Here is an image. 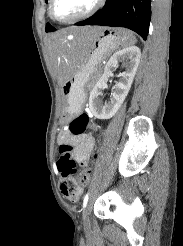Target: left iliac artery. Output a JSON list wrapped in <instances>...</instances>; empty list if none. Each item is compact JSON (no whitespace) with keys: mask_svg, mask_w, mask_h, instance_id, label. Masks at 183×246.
Instances as JSON below:
<instances>
[{"mask_svg":"<svg viewBox=\"0 0 183 246\" xmlns=\"http://www.w3.org/2000/svg\"><path fill=\"white\" fill-rule=\"evenodd\" d=\"M88 199H89V193H87V194L84 196V199H83V208L86 207L87 202H88Z\"/></svg>","mask_w":183,"mask_h":246,"instance_id":"1","label":"left iliac artery"}]
</instances>
